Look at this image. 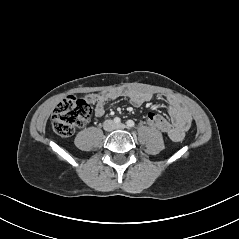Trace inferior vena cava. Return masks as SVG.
I'll return each instance as SVG.
<instances>
[{
	"label": "inferior vena cava",
	"mask_w": 239,
	"mask_h": 239,
	"mask_svg": "<svg viewBox=\"0 0 239 239\" xmlns=\"http://www.w3.org/2000/svg\"><path fill=\"white\" fill-rule=\"evenodd\" d=\"M114 127H115V125H114V123H113V121L112 120H106L105 122H104V129L105 130H113L114 129Z\"/></svg>",
	"instance_id": "1"
}]
</instances>
